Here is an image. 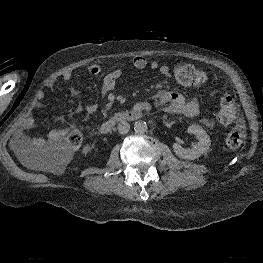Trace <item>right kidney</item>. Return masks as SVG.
I'll return each mask as SVG.
<instances>
[{
    "mask_svg": "<svg viewBox=\"0 0 263 263\" xmlns=\"http://www.w3.org/2000/svg\"><path fill=\"white\" fill-rule=\"evenodd\" d=\"M91 149H92L91 146L89 144H86L84 148L82 149V153L87 154L91 151Z\"/></svg>",
    "mask_w": 263,
    "mask_h": 263,
    "instance_id": "1",
    "label": "right kidney"
}]
</instances>
